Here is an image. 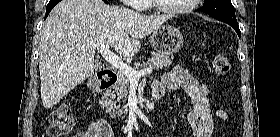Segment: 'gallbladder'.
Returning <instances> with one entry per match:
<instances>
[{
    "label": "gallbladder",
    "instance_id": "obj_1",
    "mask_svg": "<svg viewBox=\"0 0 280 137\" xmlns=\"http://www.w3.org/2000/svg\"><path fill=\"white\" fill-rule=\"evenodd\" d=\"M103 68V64L101 63V62H96V64H95V69L96 70H100V69H102Z\"/></svg>",
    "mask_w": 280,
    "mask_h": 137
}]
</instances>
